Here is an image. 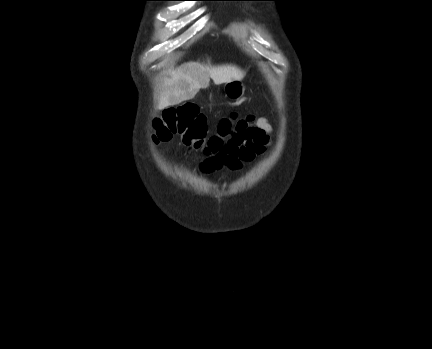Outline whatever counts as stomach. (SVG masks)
<instances>
[{"label":"stomach","mask_w":432,"mask_h":349,"mask_svg":"<svg viewBox=\"0 0 432 349\" xmlns=\"http://www.w3.org/2000/svg\"><path fill=\"white\" fill-rule=\"evenodd\" d=\"M245 87L241 80H233L225 83L224 92L228 99L231 101H238L242 98Z\"/></svg>","instance_id":"obj_1"}]
</instances>
